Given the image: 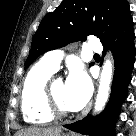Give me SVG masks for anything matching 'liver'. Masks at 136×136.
<instances>
[{
  "instance_id": "liver-1",
  "label": "liver",
  "mask_w": 136,
  "mask_h": 136,
  "mask_svg": "<svg viewBox=\"0 0 136 136\" xmlns=\"http://www.w3.org/2000/svg\"><path fill=\"white\" fill-rule=\"evenodd\" d=\"M61 133V128H37V127H30L27 129H23L18 131L15 136H56Z\"/></svg>"
}]
</instances>
